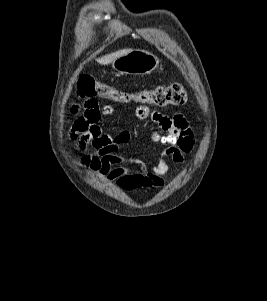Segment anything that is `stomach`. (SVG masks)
<instances>
[{
    "instance_id": "obj_1",
    "label": "stomach",
    "mask_w": 267,
    "mask_h": 301,
    "mask_svg": "<svg viewBox=\"0 0 267 301\" xmlns=\"http://www.w3.org/2000/svg\"><path fill=\"white\" fill-rule=\"evenodd\" d=\"M159 65L156 55L145 50H133L112 62L116 71L130 75H146L154 71Z\"/></svg>"
}]
</instances>
